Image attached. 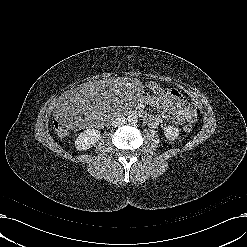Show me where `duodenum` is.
<instances>
[{
  "mask_svg": "<svg viewBox=\"0 0 247 247\" xmlns=\"http://www.w3.org/2000/svg\"><path fill=\"white\" fill-rule=\"evenodd\" d=\"M130 115H135L137 117H140L146 122H150L151 121V116L148 115L147 113H145L144 111L139 110V109L131 111Z\"/></svg>",
  "mask_w": 247,
  "mask_h": 247,
  "instance_id": "1",
  "label": "duodenum"
}]
</instances>
